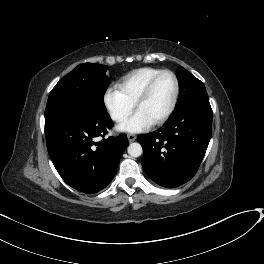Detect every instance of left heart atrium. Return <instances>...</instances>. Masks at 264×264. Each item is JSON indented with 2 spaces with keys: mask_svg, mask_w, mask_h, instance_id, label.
Returning a JSON list of instances; mask_svg holds the SVG:
<instances>
[{
  "mask_svg": "<svg viewBox=\"0 0 264 264\" xmlns=\"http://www.w3.org/2000/svg\"><path fill=\"white\" fill-rule=\"evenodd\" d=\"M151 124V121L142 113L136 111L132 116L120 124L119 129L127 132H139L147 129Z\"/></svg>",
  "mask_w": 264,
  "mask_h": 264,
  "instance_id": "obj_1",
  "label": "left heart atrium"
}]
</instances>
